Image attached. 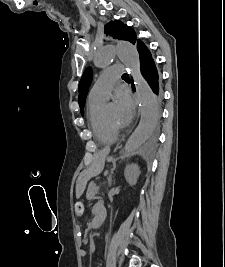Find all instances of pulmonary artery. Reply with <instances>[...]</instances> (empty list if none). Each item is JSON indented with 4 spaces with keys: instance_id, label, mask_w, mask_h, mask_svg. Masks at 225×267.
I'll return each mask as SVG.
<instances>
[{
    "instance_id": "obj_1",
    "label": "pulmonary artery",
    "mask_w": 225,
    "mask_h": 267,
    "mask_svg": "<svg viewBox=\"0 0 225 267\" xmlns=\"http://www.w3.org/2000/svg\"><path fill=\"white\" fill-rule=\"evenodd\" d=\"M123 73L122 64H114L101 73L89 93V99L105 101L114 83L121 77Z\"/></svg>"
}]
</instances>
